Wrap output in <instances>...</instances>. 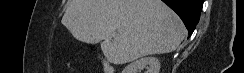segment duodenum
Returning <instances> with one entry per match:
<instances>
[{"label": "duodenum", "instance_id": "obj_1", "mask_svg": "<svg viewBox=\"0 0 244 73\" xmlns=\"http://www.w3.org/2000/svg\"><path fill=\"white\" fill-rule=\"evenodd\" d=\"M104 66H105V72L106 73H112V71H111V69H110V66H109V64L108 63H104Z\"/></svg>", "mask_w": 244, "mask_h": 73}]
</instances>
